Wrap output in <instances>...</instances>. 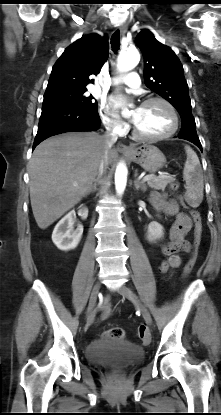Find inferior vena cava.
<instances>
[{
  "label": "inferior vena cava",
  "instance_id": "obj_1",
  "mask_svg": "<svg viewBox=\"0 0 221 415\" xmlns=\"http://www.w3.org/2000/svg\"><path fill=\"white\" fill-rule=\"evenodd\" d=\"M102 138H103V154L104 155L99 165L98 177H97L98 179L102 177L103 173L105 172L107 168V164H108L107 153L118 139L117 134L113 131L112 125H109L108 127H106V132L104 133Z\"/></svg>",
  "mask_w": 221,
  "mask_h": 415
}]
</instances>
